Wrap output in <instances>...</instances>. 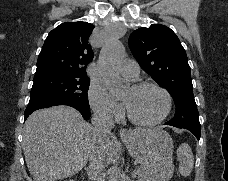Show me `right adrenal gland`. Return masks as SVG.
Returning a JSON list of instances; mask_svg holds the SVG:
<instances>
[{"instance_id": "2a0ac1e0", "label": "right adrenal gland", "mask_w": 228, "mask_h": 181, "mask_svg": "<svg viewBox=\"0 0 228 181\" xmlns=\"http://www.w3.org/2000/svg\"><path fill=\"white\" fill-rule=\"evenodd\" d=\"M84 171H87V173H88V167H85Z\"/></svg>"}]
</instances>
